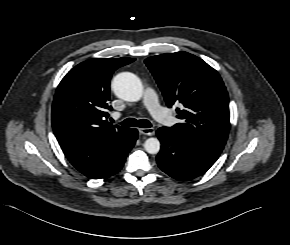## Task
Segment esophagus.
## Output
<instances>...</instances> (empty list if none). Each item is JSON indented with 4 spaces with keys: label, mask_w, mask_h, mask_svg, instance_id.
<instances>
[{
    "label": "esophagus",
    "mask_w": 290,
    "mask_h": 245,
    "mask_svg": "<svg viewBox=\"0 0 290 245\" xmlns=\"http://www.w3.org/2000/svg\"><path fill=\"white\" fill-rule=\"evenodd\" d=\"M139 133L147 136H152L155 134L154 128H139Z\"/></svg>",
    "instance_id": "1"
}]
</instances>
